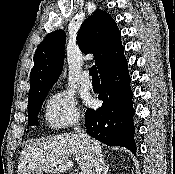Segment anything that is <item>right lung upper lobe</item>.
Returning a JSON list of instances; mask_svg holds the SVG:
<instances>
[{"instance_id": "right-lung-upper-lobe-1", "label": "right lung upper lobe", "mask_w": 175, "mask_h": 174, "mask_svg": "<svg viewBox=\"0 0 175 174\" xmlns=\"http://www.w3.org/2000/svg\"><path fill=\"white\" fill-rule=\"evenodd\" d=\"M66 34L62 30L50 33L38 46L30 73L28 101L46 95L58 80L63 68ZM78 45L85 54H94L99 73L123 55L120 31L111 16L97 9L82 24Z\"/></svg>"}]
</instances>
